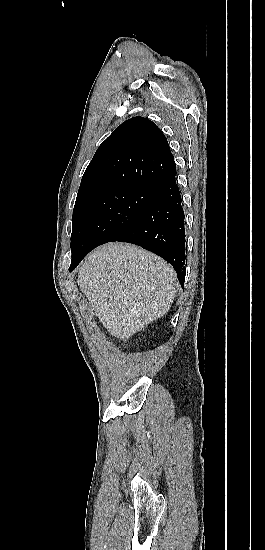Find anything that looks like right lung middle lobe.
I'll return each instance as SVG.
<instances>
[{
	"mask_svg": "<svg viewBox=\"0 0 265 550\" xmlns=\"http://www.w3.org/2000/svg\"><path fill=\"white\" fill-rule=\"evenodd\" d=\"M158 187H123L75 202L70 267L129 227L147 208Z\"/></svg>",
	"mask_w": 265,
	"mask_h": 550,
	"instance_id": "1",
	"label": "right lung middle lobe"
}]
</instances>
